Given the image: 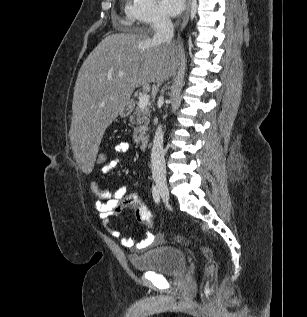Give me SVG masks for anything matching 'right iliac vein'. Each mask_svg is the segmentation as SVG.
Masks as SVG:
<instances>
[{"label":"right iliac vein","instance_id":"63e3f726","mask_svg":"<svg viewBox=\"0 0 307 317\" xmlns=\"http://www.w3.org/2000/svg\"><path fill=\"white\" fill-rule=\"evenodd\" d=\"M155 183L159 189V192L164 200L169 199V189L166 182V178L164 176H155Z\"/></svg>","mask_w":307,"mask_h":317}]
</instances>
